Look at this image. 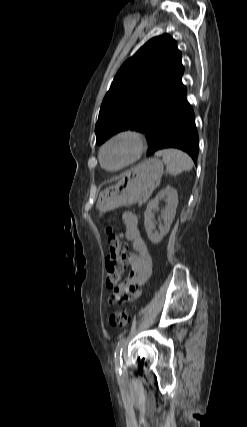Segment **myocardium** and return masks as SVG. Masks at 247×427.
<instances>
[{"instance_id":"1","label":"myocardium","mask_w":247,"mask_h":427,"mask_svg":"<svg viewBox=\"0 0 247 427\" xmlns=\"http://www.w3.org/2000/svg\"><path fill=\"white\" fill-rule=\"evenodd\" d=\"M125 139L130 140L132 142L133 153H132L131 157L127 161H125L123 164H121L117 167H114V168L107 167L103 161V153H104L105 149H107L113 143H116L120 140H125ZM144 150H145V139H144L143 135L136 130L125 129V130H121V131L114 133L102 144V146L99 149L98 158H99V162H100L101 166L105 170L110 171V172H116V171L122 170V169L132 165L133 163H135L142 156Z\"/></svg>"}]
</instances>
